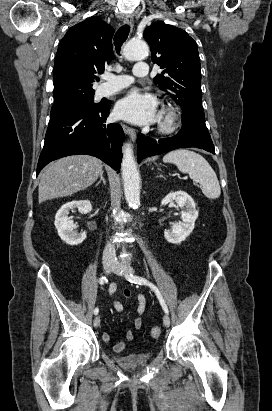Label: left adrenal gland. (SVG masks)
I'll use <instances>...</instances> for the list:
<instances>
[{"label": "left adrenal gland", "mask_w": 272, "mask_h": 411, "mask_svg": "<svg viewBox=\"0 0 272 411\" xmlns=\"http://www.w3.org/2000/svg\"><path fill=\"white\" fill-rule=\"evenodd\" d=\"M158 177H163V175L162 174H159V176Z\"/></svg>", "instance_id": "left-adrenal-gland-1"}]
</instances>
